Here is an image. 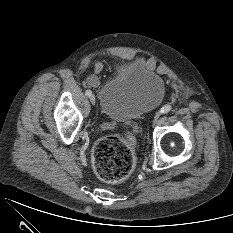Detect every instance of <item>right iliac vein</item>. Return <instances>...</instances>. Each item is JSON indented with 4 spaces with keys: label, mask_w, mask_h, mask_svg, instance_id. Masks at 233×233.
<instances>
[{
    "label": "right iliac vein",
    "mask_w": 233,
    "mask_h": 233,
    "mask_svg": "<svg viewBox=\"0 0 233 233\" xmlns=\"http://www.w3.org/2000/svg\"><path fill=\"white\" fill-rule=\"evenodd\" d=\"M89 99H90V102H91L92 104H95L96 98H95L94 95H90V96H89Z\"/></svg>",
    "instance_id": "obj_1"
}]
</instances>
